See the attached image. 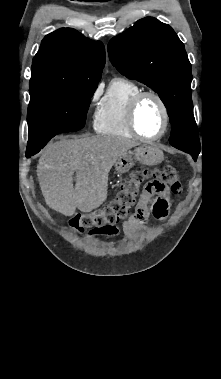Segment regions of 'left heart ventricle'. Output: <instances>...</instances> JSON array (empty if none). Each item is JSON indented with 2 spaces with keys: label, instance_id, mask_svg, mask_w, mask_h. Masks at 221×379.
Masks as SVG:
<instances>
[{
  "label": "left heart ventricle",
  "instance_id": "left-heart-ventricle-1",
  "mask_svg": "<svg viewBox=\"0 0 221 379\" xmlns=\"http://www.w3.org/2000/svg\"><path fill=\"white\" fill-rule=\"evenodd\" d=\"M136 123L139 131L147 137L160 133L163 127V113L154 98L146 97L142 100L137 110Z\"/></svg>",
  "mask_w": 221,
  "mask_h": 379
}]
</instances>
